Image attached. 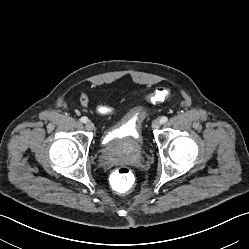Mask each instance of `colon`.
I'll use <instances>...</instances> for the list:
<instances>
[{"instance_id":"colon-1","label":"colon","mask_w":249,"mask_h":249,"mask_svg":"<svg viewBox=\"0 0 249 249\" xmlns=\"http://www.w3.org/2000/svg\"><path fill=\"white\" fill-rule=\"evenodd\" d=\"M170 94V89L165 86L157 87L150 93L146 100L152 104L164 101ZM134 183V173L126 166L117 168L111 177V185L113 189L119 193H125L132 187Z\"/></svg>"}]
</instances>
